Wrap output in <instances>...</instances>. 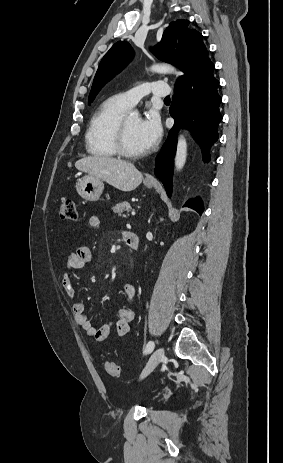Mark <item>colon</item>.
<instances>
[{
    "instance_id": "colon-1",
    "label": "colon",
    "mask_w": 283,
    "mask_h": 463,
    "mask_svg": "<svg viewBox=\"0 0 283 463\" xmlns=\"http://www.w3.org/2000/svg\"><path fill=\"white\" fill-rule=\"evenodd\" d=\"M59 217L62 220H76L78 212L75 202L72 199L65 198L59 208ZM105 370L111 376L120 375V367L113 361L105 362Z\"/></svg>"
}]
</instances>
